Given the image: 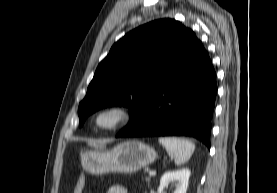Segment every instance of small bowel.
Here are the masks:
<instances>
[{"instance_id": "small-bowel-1", "label": "small bowel", "mask_w": 277, "mask_h": 193, "mask_svg": "<svg viewBox=\"0 0 277 193\" xmlns=\"http://www.w3.org/2000/svg\"><path fill=\"white\" fill-rule=\"evenodd\" d=\"M106 193H128V191L122 185H113L107 190Z\"/></svg>"}]
</instances>
